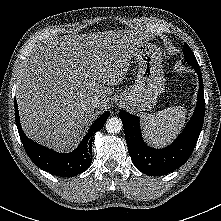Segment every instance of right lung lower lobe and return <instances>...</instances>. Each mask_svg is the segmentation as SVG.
Here are the masks:
<instances>
[{
    "label": "right lung lower lobe",
    "mask_w": 221,
    "mask_h": 221,
    "mask_svg": "<svg viewBox=\"0 0 221 221\" xmlns=\"http://www.w3.org/2000/svg\"><path fill=\"white\" fill-rule=\"evenodd\" d=\"M15 122L29 158L41 169L61 177H72L86 171L91 165L92 141L109 117V112L102 114L90 127L79 146L70 153L62 154L43 147L29 139L22 130L16 100Z\"/></svg>",
    "instance_id": "1"
}]
</instances>
